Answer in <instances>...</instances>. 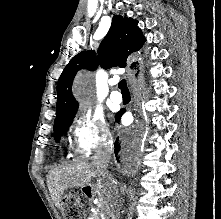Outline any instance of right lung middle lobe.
Here are the masks:
<instances>
[{
  "label": "right lung middle lobe",
  "instance_id": "right-lung-middle-lobe-1",
  "mask_svg": "<svg viewBox=\"0 0 221 219\" xmlns=\"http://www.w3.org/2000/svg\"><path fill=\"white\" fill-rule=\"evenodd\" d=\"M77 111V108H74L70 112L66 113L65 115L56 118L54 121V135L56 136L55 139L58 141L60 135L64 132H66L69 128V126L73 122V118L75 116V113Z\"/></svg>",
  "mask_w": 221,
  "mask_h": 219
}]
</instances>
